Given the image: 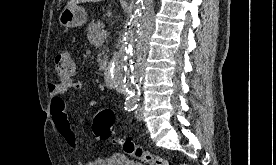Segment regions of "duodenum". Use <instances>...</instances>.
Segmentation results:
<instances>
[{
  "label": "duodenum",
  "instance_id": "duodenum-1",
  "mask_svg": "<svg viewBox=\"0 0 276 165\" xmlns=\"http://www.w3.org/2000/svg\"><path fill=\"white\" fill-rule=\"evenodd\" d=\"M104 77H105L106 82L110 84L111 83V77H110V73L107 69L104 71Z\"/></svg>",
  "mask_w": 276,
  "mask_h": 165
}]
</instances>
